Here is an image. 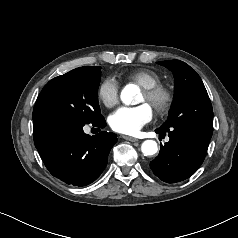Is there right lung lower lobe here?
<instances>
[{
  "label": "right lung lower lobe",
  "instance_id": "right-lung-lower-lobe-1",
  "mask_svg": "<svg viewBox=\"0 0 238 238\" xmlns=\"http://www.w3.org/2000/svg\"><path fill=\"white\" fill-rule=\"evenodd\" d=\"M91 124L103 128L106 122L103 117ZM84 125L66 119L34 121V143L46 168L56 178L79 187L100 176L117 142L114 133L85 134Z\"/></svg>",
  "mask_w": 238,
  "mask_h": 238
}]
</instances>
